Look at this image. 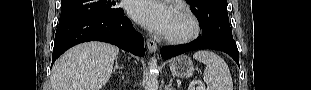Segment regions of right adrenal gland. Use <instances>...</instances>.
Listing matches in <instances>:
<instances>
[{"instance_id":"obj_1","label":"right adrenal gland","mask_w":311,"mask_h":90,"mask_svg":"<svg viewBox=\"0 0 311 90\" xmlns=\"http://www.w3.org/2000/svg\"><path fill=\"white\" fill-rule=\"evenodd\" d=\"M117 69H123V67H122V66L120 67V66L118 65L117 60H115V67H114V69H113V73H115V71H116Z\"/></svg>"}]
</instances>
